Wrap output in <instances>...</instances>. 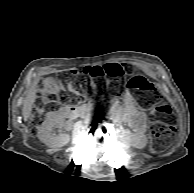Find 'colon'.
<instances>
[{"mask_svg":"<svg viewBox=\"0 0 194 193\" xmlns=\"http://www.w3.org/2000/svg\"><path fill=\"white\" fill-rule=\"evenodd\" d=\"M133 70V67L127 64L109 63L102 66L85 67L81 71H66L59 77L53 75L44 77L39 84L36 113L31 121V129L34 131L39 127L46 116L56 111L60 104L70 101L72 93L76 92L73 79L78 73L95 81L109 77L115 82V85H118L127 75H131ZM127 87L140 99L143 106L152 112L154 119L151 128L152 148L160 151L171 146L176 137V127L169 121L172 109L169 105L161 103V95L157 87L139 75L132 76L127 82Z\"/></svg>","mask_w":194,"mask_h":193,"instance_id":"1","label":"colon"}]
</instances>
